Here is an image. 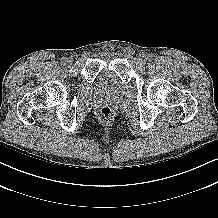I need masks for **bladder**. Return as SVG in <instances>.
Returning <instances> with one entry per match:
<instances>
[{"mask_svg": "<svg viewBox=\"0 0 218 218\" xmlns=\"http://www.w3.org/2000/svg\"><path fill=\"white\" fill-rule=\"evenodd\" d=\"M112 75L108 72V71H104L102 73V77L105 78H110ZM118 84H120V82H118Z\"/></svg>", "mask_w": 218, "mask_h": 218, "instance_id": "obj_1", "label": "bladder"}]
</instances>
